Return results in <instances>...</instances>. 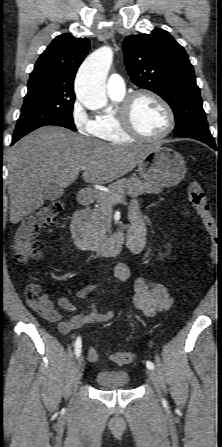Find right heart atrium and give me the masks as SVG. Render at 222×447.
Listing matches in <instances>:
<instances>
[{"label":"right heart atrium","mask_w":222,"mask_h":447,"mask_svg":"<svg viewBox=\"0 0 222 447\" xmlns=\"http://www.w3.org/2000/svg\"><path fill=\"white\" fill-rule=\"evenodd\" d=\"M71 118L75 129L83 135H90L93 130V120L87 115L84 108L75 103L71 110Z\"/></svg>","instance_id":"right-heart-atrium-1"}]
</instances>
